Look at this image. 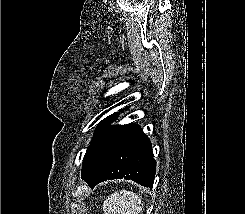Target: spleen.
Returning <instances> with one entry per match:
<instances>
[{"instance_id":"3e777b00","label":"spleen","mask_w":245,"mask_h":214,"mask_svg":"<svg viewBox=\"0 0 245 214\" xmlns=\"http://www.w3.org/2000/svg\"><path fill=\"white\" fill-rule=\"evenodd\" d=\"M102 209L104 214H142V197L125 189L108 196Z\"/></svg>"}]
</instances>
